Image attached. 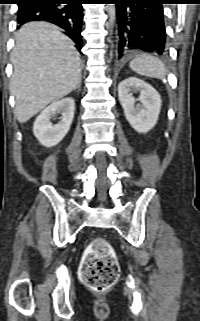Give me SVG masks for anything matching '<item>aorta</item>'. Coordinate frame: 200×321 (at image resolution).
I'll return each mask as SVG.
<instances>
[{
  "label": "aorta",
  "mask_w": 200,
  "mask_h": 321,
  "mask_svg": "<svg viewBox=\"0 0 200 321\" xmlns=\"http://www.w3.org/2000/svg\"><path fill=\"white\" fill-rule=\"evenodd\" d=\"M109 15H110V24L113 25L115 21L116 9L113 4H110L108 7Z\"/></svg>",
  "instance_id": "1"
}]
</instances>
